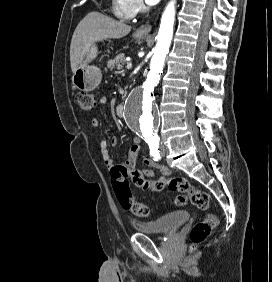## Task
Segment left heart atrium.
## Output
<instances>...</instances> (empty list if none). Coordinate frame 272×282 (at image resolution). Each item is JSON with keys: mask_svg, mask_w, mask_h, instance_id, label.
<instances>
[{"mask_svg": "<svg viewBox=\"0 0 272 282\" xmlns=\"http://www.w3.org/2000/svg\"><path fill=\"white\" fill-rule=\"evenodd\" d=\"M146 1V3L148 4V5H155V4H157L160 0H145Z\"/></svg>", "mask_w": 272, "mask_h": 282, "instance_id": "1", "label": "left heart atrium"}]
</instances>
